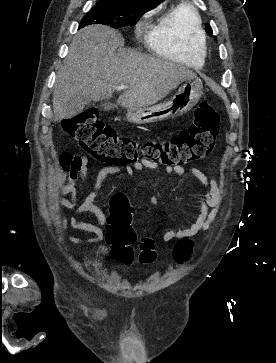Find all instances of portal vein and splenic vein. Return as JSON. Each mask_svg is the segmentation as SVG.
I'll return each mask as SVG.
<instances>
[{
  "label": "portal vein and splenic vein",
  "instance_id": "obj_1",
  "mask_svg": "<svg viewBox=\"0 0 276 363\" xmlns=\"http://www.w3.org/2000/svg\"><path fill=\"white\" fill-rule=\"evenodd\" d=\"M125 88H127V87L123 84L118 87V89H125Z\"/></svg>",
  "mask_w": 276,
  "mask_h": 363
}]
</instances>
